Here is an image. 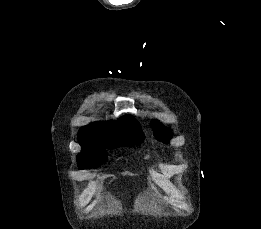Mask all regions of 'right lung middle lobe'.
Here are the masks:
<instances>
[{
  "instance_id": "right-lung-middle-lobe-1",
  "label": "right lung middle lobe",
  "mask_w": 261,
  "mask_h": 229,
  "mask_svg": "<svg viewBox=\"0 0 261 229\" xmlns=\"http://www.w3.org/2000/svg\"><path fill=\"white\" fill-rule=\"evenodd\" d=\"M121 135L126 140L125 146H132L138 144L144 140V134L140 125H131L121 129ZM106 159L105 150L101 149H82V152L78 154V166L81 169L97 167Z\"/></svg>"
}]
</instances>
